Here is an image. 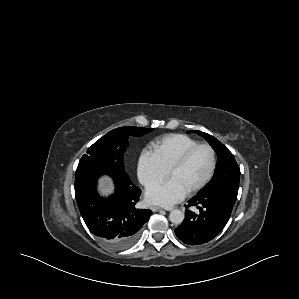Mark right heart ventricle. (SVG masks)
<instances>
[{
	"label": "right heart ventricle",
	"instance_id": "right-heart-ventricle-1",
	"mask_svg": "<svg viewBox=\"0 0 299 299\" xmlns=\"http://www.w3.org/2000/svg\"><path fill=\"white\" fill-rule=\"evenodd\" d=\"M198 142L187 135L174 133L165 135L151 143L153 153L168 172L175 161L191 146Z\"/></svg>",
	"mask_w": 299,
	"mask_h": 299
}]
</instances>
